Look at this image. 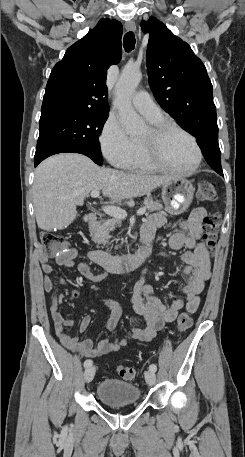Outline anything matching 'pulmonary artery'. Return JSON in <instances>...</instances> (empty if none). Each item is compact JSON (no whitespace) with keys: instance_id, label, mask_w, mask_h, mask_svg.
<instances>
[{"instance_id":"e3ab8cb5","label":"pulmonary artery","mask_w":245,"mask_h":457,"mask_svg":"<svg viewBox=\"0 0 245 457\" xmlns=\"http://www.w3.org/2000/svg\"><path fill=\"white\" fill-rule=\"evenodd\" d=\"M150 98L149 93H135L134 97L131 98V103L147 119L155 120L160 118L161 109Z\"/></svg>"}]
</instances>
